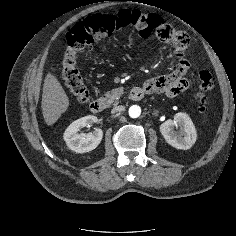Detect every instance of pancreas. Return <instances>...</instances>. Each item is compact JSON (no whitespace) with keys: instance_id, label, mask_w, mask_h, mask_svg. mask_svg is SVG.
I'll list each match as a JSON object with an SVG mask.
<instances>
[{"instance_id":"cf45deb5","label":"pancreas","mask_w":236,"mask_h":236,"mask_svg":"<svg viewBox=\"0 0 236 236\" xmlns=\"http://www.w3.org/2000/svg\"><path fill=\"white\" fill-rule=\"evenodd\" d=\"M123 94V88H115L111 91H108L104 94V97L101 100L105 101L108 104L116 103L120 96Z\"/></svg>"}]
</instances>
